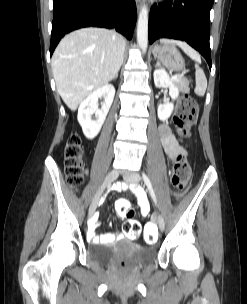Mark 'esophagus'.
Listing matches in <instances>:
<instances>
[{"label": "esophagus", "instance_id": "1", "mask_svg": "<svg viewBox=\"0 0 247 304\" xmlns=\"http://www.w3.org/2000/svg\"><path fill=\"white\" fill-rule=\"evenodd\" d=\"M136 5H137V9L140 10L142 7V1L141 0H136Z\"/></svg>", "mask_w": 247, "mask_h": 304}]
</instances>
